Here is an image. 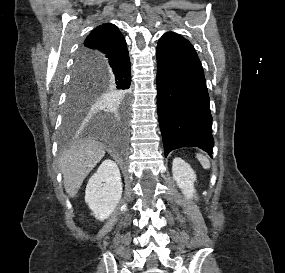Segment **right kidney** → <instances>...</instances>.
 Segmentation results:
<instances>
[{"instance_id": "1", "label": "right kidney", "mask_w": 285, "mask_h": 273, "mask_svg": "<svg viewBox=\"0 0 285 273\" xmlns=\"http://www.w3.org/2000/svg\"><path fill=\"white\" fill-rule=\"evenodd\" d=\"M122 196V182L118 166L112 160H105L89 179L85 190V202L96 219H107Z\"/></svg>"}]
</instances>
